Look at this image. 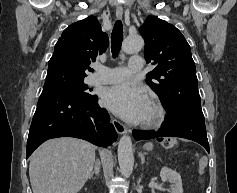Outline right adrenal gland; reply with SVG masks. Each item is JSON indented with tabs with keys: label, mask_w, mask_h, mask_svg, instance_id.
<instances>
[{
	"label": "right adrenal gland",
	"mask_w": 237,
	"mask_h": 193,
	"mask_svg": "<svg viewBox=\"0 0 237 193\" xmlns=\"http://www.w3.org/2000/svg\"><path fill=\"white\" fill-rule=\"evenodd\" d=\"M100 169H101L100 160H99V159H96V162H95V165H94V170L90 173V175H89L88 178L91 179L94 174H95L96 176H99Z\"/></svg>",
	"instance_id": "1"
}]
</instances>
